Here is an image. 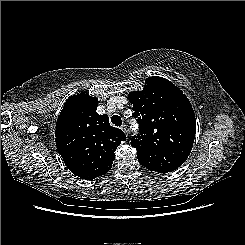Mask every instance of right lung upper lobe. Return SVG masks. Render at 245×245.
I'll return each mask as SVG.
<instances>
[{"mask_svg":"<svg viewBox=\"0 0 245 245\" xmlns=\"http://www.w3.org/2000/svg\"><path fill=\"white\" fill-rule=\"evenodd\" d=\"M98 99L81 92L71 96L58 116L55 141L67 168L76 176L92 180L106 174L114 152L126 136L110 126L107 115L96 112Z\"/></svg>","mask_w":245,"mask_h":245,"instance_id":"obj_1","label":"right lung upper lobe"}]
</instances>
